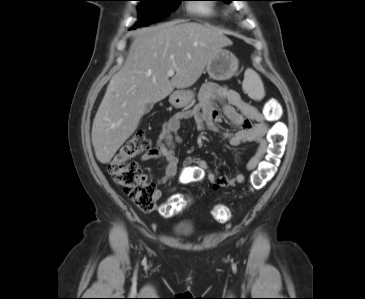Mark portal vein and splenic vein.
<instances>
[{
  "label": "portal vein and splenic vein",
  "instance_id": "18ae733b",
  "mask_svg": "<svg viewBox=\"0 0 365 299\" xmlns=\"http://www.w3.org/2000/svg\"><path fill=\"white\" fill-rule=\"evenodd\" d=\"M174 72H175L174 70L167 71V76L172 77L174 75Z\"/></svg>",
  "mask_w": 365,
  "mask_h": 299
}]
</instances>
